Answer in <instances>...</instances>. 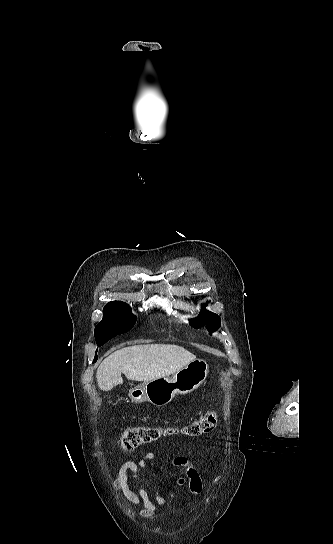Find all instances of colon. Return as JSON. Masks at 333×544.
<instances>
[{
	"instance_id": "1",
	"label": "colon",
	"mask_w": 333,
	"mask_h": 544,
	"mask_svg": "<svg viewBox=\"0 0 333 544\" xmlns=\"http://www.w3.org/2000/svg\"><path fill=\"white\" fill-rule=\"evenodd\" d=\"M217 423V414L208 412L199 418L190 420L181 430L164 428L159 426L134 425L129 427L120 438V446L124 451L130 452L134 449L150 444L159 438L181 432L188 436H200L211 433Z\"/></svg>"
}]
</instances>
